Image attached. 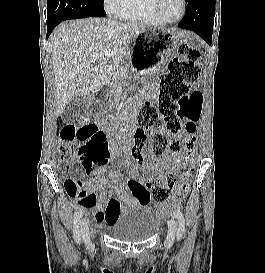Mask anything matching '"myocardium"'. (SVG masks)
<instances>
[{"instance_id":"myocardium-1","label":"myocardium","mask_w":265,"mask_h":273,"mask_svg":"<svg viewBox=\"0 0 265 273\" xmlns=\"http://www.w3.org/2000/svg\"><path fill=\"white\" fill-rule=\"evenodd\" d=\"M182 3V12L181 15L174 20H170L167 19L161 12V8H160V4H161V0H152V9L153 12L155 14V16L157 17V19L159 21H161L164 24H174V23H178L179 21H181L184 16L186 15L187 12V1L186 0H181Z\"/></svg>"}]
</instances>
